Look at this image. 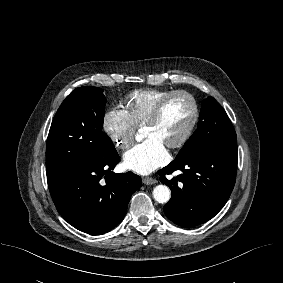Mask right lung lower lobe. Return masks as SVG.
I'll return each mask as SVG.
<instances>
[{
    "label": "right lung lower lobe",
    "instance_id": "98d812e1",
    "mask_svg": "<svg viewBox=\"0 0 283 283\" xmlns=\"http://www.w3.org/2000/svg\"><path fill=\"white\" fill-rule=\"evenodd\" d=\"M119 161L114 149L94 162L47 177L53 202L70 225L88 234H103L121 222L142 180L130 171L114 173Z\"/></svg>",
    "mask_w": 283,
    "mask_h": 283
}]
</instances>
